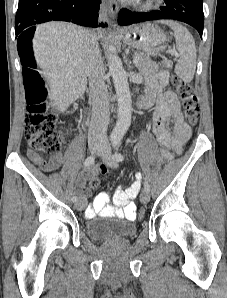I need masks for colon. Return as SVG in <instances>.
<instances>
[{"instance_id": "5ec220e1", "label": "colon", "mask_w": 227, "mask_h": 298, "mask_svg": "<svg viewBox=\"0 0 227 298\" xmlns=\"http://www.w3.org/2000/svg\"><path fill=\"white\" fill-rule=\"evenodd\" d=\"M172 82L183 102L189 124L196 125L200 109L191 84L178 77H173ZM24 89L27 102L25 138L28 145L35 151L58 154L65 143V133L55 128L56 117L49 112L47 105V88L32 59L26 62ZM105 171V167L101 166V172ZM99 184L98 178L90 180L92 188H97ZM139 217L145 218V208H140Z\"/></svg>"}]
</instances>
